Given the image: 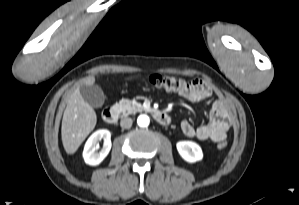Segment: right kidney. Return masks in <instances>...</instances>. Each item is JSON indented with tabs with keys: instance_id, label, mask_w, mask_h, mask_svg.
<instances>
[{
	"instance_id": "1",
	"label": "right kidney",
	"mask_w": 299,
	"mask_h": 205,
	"mask_svg": "<svg viewBox=\"0 0 299 205\" xmlns=\"http://www.w3.org/2000/svg\"><path fill=\"white\" fill-rule=\"evenodd\" d=\"M111 134L106 129L95 131L86 141L83 150V159L86 164L91 166L99 165L108 155L111 149ZM104 140L103 147L99 152V141Z\"/></svg>"
}]
</instances>
